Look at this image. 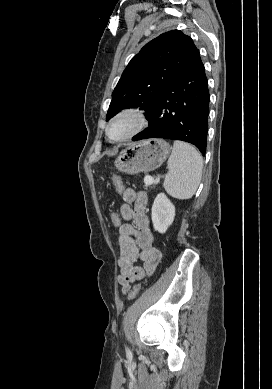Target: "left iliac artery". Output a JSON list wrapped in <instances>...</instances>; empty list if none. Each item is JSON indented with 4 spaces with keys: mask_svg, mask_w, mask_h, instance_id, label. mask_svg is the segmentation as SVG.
I'll return each instance as SVG.
<instances>
[{
    "mask_svg": "<svg viewBox=\"0 0 272 389\" xmlns=\"http://www.w3.org/2000/svg\"><path fill=\"white\" fill-rule=\"evenodd\" d=\"M127 352H128V353H130V350H129V349H127Z\"/></svg>",
    "mask_w": 272,
    "mask_h": 389,
    "instance_id": "44dca946",
    "label": "left iliac artery"
}]
</instances>
